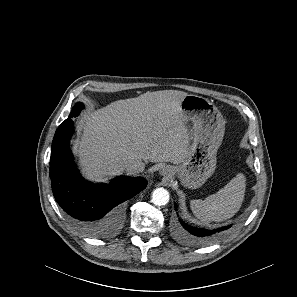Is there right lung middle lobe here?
Returning a JSON list of instances; mask_svg holds the SVG:
<instances>
[{
  "instance_id": "obj_1",
  "label": "right lung middle lobe",
  "mask_w": 297,
  "mask_h": 297,
  "mask_svg": "<svg viewBox=\"0 0 297 297\" xmlns=\"http://www.w3.org/2000/svg\"><path fill=\"white\" fill-rule=\"evenodd\" d=\"M84 108V105L81 103V102H79V103H77L74 107H73V109H72V112L70 113V115L69 116H77L80 112H81V110Z\"/></svg>"
}]
</instances>
